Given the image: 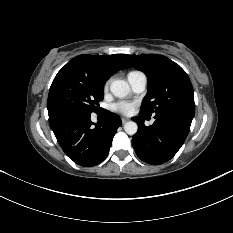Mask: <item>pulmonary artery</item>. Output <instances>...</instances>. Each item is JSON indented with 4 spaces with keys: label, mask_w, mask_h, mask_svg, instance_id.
<instances>
[{
    "label": "pulmonary artery",
    "mask_w": 233,
    "mask_h": 233,
    "mask_svg": "<svg viewBox=\"0 0 233 233\" xmlns=\"http://www.w3.org/2000/svg\"><path fill=\"white\" fill-rule=\"evenodd\" d=\"M128 81L135 93H142L147 85V78L143 73L133 76Z\"/></svg>",
    "instance_id": "obj_1"
}]
</instances>
